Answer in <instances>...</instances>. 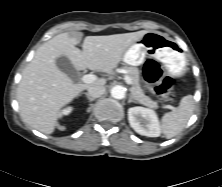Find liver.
<instances>
[{
  "instance_id": "1",
  "label": "liver",
  "mask_w": 222,
  "mask_h": 187,
  "mask_svg": "<svg viewBox=\"0 0 222 187\" xmlns=\"http://www.w3.org/2000/svg\"><path fill=\"white\" fill-rule=\"evenodd\" d=\"M147 31L107 36H87L82 51L81 32H66L54 36L40 46L22 73L17 88V101L22 119L32 128L52 134L61 109L92 85H105V79L88 84H75L57 64L56 58L68 57L76 70H97L111 73L122 60L125 51Z\"/></svg>"
}]
</instances>
